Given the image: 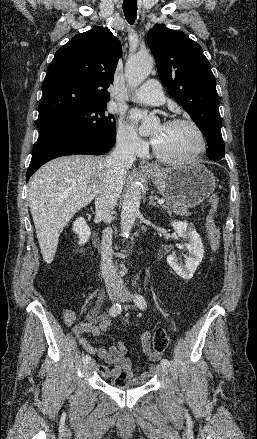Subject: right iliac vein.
I'll return each mask as SVG.
<instances>
[{
    "label": "right iliac vein",
    "instance_id": "63e3f726",
    "mask_svg": "<svg viewBox=\"0 0 257 439\" xmlns=\"http://www.w3.org/2000/svg\"><path fill=\"white\" fill-rule=\"evenodd\" d=\"M108 295L111 300H116L119 297V293L113 291L109 292ZM84 367L87 370L91 369L93 367V361L90 360L89 362L84 363Z\"/></svg>",
    "mask_w": 257,
    "mask_h": 439
}]
</instances>
